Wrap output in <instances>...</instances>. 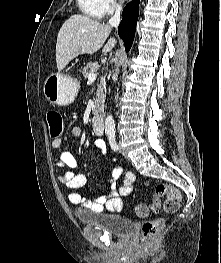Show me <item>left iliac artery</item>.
<instances>
[{"label": "left iliac artery", "mask_w": 221, "mask_h": 263, "mask_svg": "<svg viewBox=\"0 0 221 263\" xmlns=\"http://www.w3.org/2000/svg\"><path fill=\"white\" fill-rule=\"evenodd\" d=\"M108 139H109V144H110L111 148L114 151H117L118 145L116 143L115 134H113V133L108 134Z\"/></svg>", "instance_id": "left-iliac-artery-1"}]
</instances>
